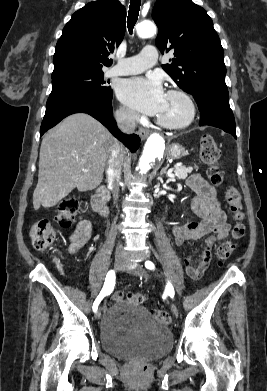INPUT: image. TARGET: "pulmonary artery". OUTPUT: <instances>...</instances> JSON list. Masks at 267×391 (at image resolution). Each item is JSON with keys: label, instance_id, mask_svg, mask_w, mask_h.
Returning <instances> with one entry per match:
<instances>
[{"label": "pulmonary artery", "instance_id": "obj_1", "mask_svg": "<svg viewBox=\"0 0 267 391\" xmlns=\"http://www.w3.org/2000/svg\"><path fill=\"white\" fill-rule=\"evenodd\" d=\"M158 51L155 46L147 45L135 56L119 59L118 63L110 69L111 76H126L138 74L155 65Z\"/></svg>", "mask_w": 267, "mask_h": 391}]
</instances>
